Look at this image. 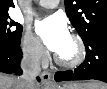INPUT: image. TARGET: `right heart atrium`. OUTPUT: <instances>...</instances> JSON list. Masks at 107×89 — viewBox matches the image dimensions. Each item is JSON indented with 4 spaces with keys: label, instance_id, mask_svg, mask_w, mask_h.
I'll use <instances>...</instances> for the list:
<instances>
[{
    "label": "right heart atrium",
    "instance_id": "d8ad5b80",
    "mask_svg": "<svg viewBox=\"0 0 107 89\" xmlns=\"http://www.w3.org/2000/svg\"><path fill=\"white\" fill-rule=\"evenodd\" d=\"M22 53L26 60L39 64L45 59V50L40 41L29 30H26L21 41Z\"/></svg>",
    "mask_w": 107,
    "mask_h": 89
}]
</instances>
